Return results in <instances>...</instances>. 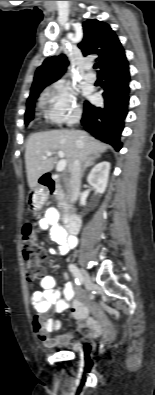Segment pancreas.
<instances>
[{"mask_svg": "<svg viewBox=\"0 0 155 395\" xmlns=\"http://www.w3.org/2000/svg\"><path fill=\"white\" fill-rule=\"evenodd\" d=\"M56 182L58 183V180ZM55 196H56V199L58 200V207L63 209L64 211H66V209H67V202H66L67 197H66V193L62 189V186L59 183L57 184V189L55 191Z\"/></svg>", "mask_w": 155, "mask_h": 395, "instance_id": "cf45deb5", "label": "pancreas"}]
</instances>
